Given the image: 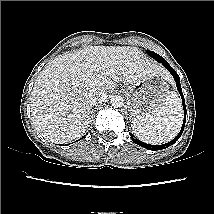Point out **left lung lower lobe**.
I'll use <instances>...</instances> for the list:
<instances>
[{
  "instance_id": "obj_1",
  "label": "left lung lower lobe",
  "mask_w": 214,
  "mask_h": 214,
  "mask_svg": "<svg viewBox=\"0 0 214 214\" xmlns=\"http://www.w3.org/2000/svg\"><path fill=\"white\" fill-rule=\"evenodd\" d=\"M162 64L169 70V72L172 74L175 82H176V86H177V89L181 95V98H182V104H183V109H184V121H183V125H182V128L179 132V134L170 142L166 143V144H162V145H150V144H146L140 140H138L137 138L134 137V135H131L132 137V141L148 150H152V151H156V150H161V149H165L167 147H169L170 145L174 144L182 135L183 133V130H184V127H185V121H186V106H185V100H184V96H183V93H182V89H181V85H180V77L178 76V74L176 73V71L166 62V61H163Z\"/></svg>"
}]
</instances>
